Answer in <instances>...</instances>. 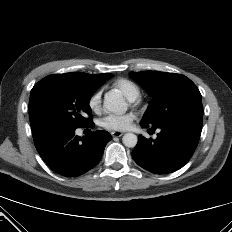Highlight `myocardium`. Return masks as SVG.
Returning a JSON list of instances; mask_svg holds the SVG:
<instances>
[{
  "instance_id": "1",
  "label": "myocardium",
  "mask_w": 232,
  "mask_h": 232,
  "mask_svg": "<svg viewBox=\"0 0 232 232\" xmlns=\"http://www.w3.org/2000/svg\"><path fill=\"white\" fill-rule=\"evenodd\" d=\"M132 103H136V99L135 100H130Z\"/></svg>"
}]
</instances>
